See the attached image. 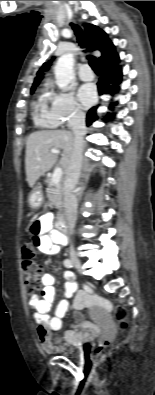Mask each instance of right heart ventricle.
<instances>
[{
    "label": "right heart ventricle",
    "mask_w": 155,
    "mask_h": 395,
    "mask_svg": "<svg viewBox=\"0 0 155 395\" xmlns=\"http://www.w3.org/2000/svg\"><path fill=\"white\" fill-rule=\"evenodd\" d=\"M50 93L47 90H43L36 102L34 103V122L37 126L42 128H53V124L50 118V112L48 109V103L50 101Z\"/></svg>",
    "instance_id": "right-heart-ventricle-1"
}]
</instances>
